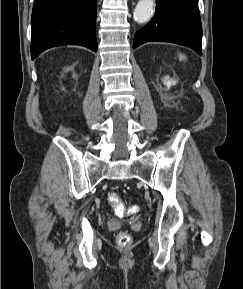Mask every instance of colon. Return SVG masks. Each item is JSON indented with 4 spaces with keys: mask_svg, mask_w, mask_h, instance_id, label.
Here are the masks:
<instances>
[{
    "mask_svg": "<svg viewBox=\"0 0 243 289\" xmlns=\"http://www.w3.org/2000/svg\"><path fill=\"white\" fill-rule=\"evenodd\" d=\"M109 204L112 207L115 214L119 217H124L129 214H134L138 212L139 207L137 205H133L131 207H126L121 200V198L115 194L112 193L108 198ZM132 238L127 232H120L117 236V242L121 246H127L131 243Z\"/></svg>",
    "mask_w": 243,
    "mask_h": 289,
    "instance_id": "5ec220e1",
    "label": "colon"
}]
</instances>
